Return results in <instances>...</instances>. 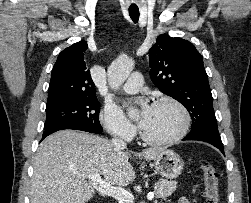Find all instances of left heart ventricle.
<instances>
[{
  "label": "left heart ventricle",
  "mask_w": 251,
  "mask_h": 203,
  "mask_svg": "<svg viewBox=\"0 0 251 203\" xmlns=\"http://www.w3.org/2000/svg\"><path fill=\"white\" fill-rule=\"evenodd\" d=\"M182 125V115L173 105L152 106L142 127L143 132L153 139H166L175 135Z\"/></svg>",
  "instance_id": "left-heart-ventricle-1"
}]
</instances>
